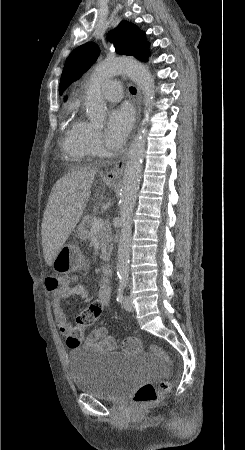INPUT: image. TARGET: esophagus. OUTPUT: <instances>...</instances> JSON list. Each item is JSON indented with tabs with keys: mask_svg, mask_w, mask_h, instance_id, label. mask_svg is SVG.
I'll return each mask as SVG.
<instances>
[{
	"mask_svg": "<svg viewBox=\"0 0 245 450\" xmlns=\"http://www.w3.org/2000/svg\"><path fill=\"white\" fill-rule=\"evenodd\" d=\"M140 111H141V92L138 89L137 90V118H136L135 128H136L139 118H140ZM126 157H127V150L124 152V154L122 155V157L118 161V163L110 171H108L104 174V178L107 180L119 179L121 177L124 167H125Z\"/></svg>",
	"mask_w": 245,
	"mask_h": 450,
	"instance_id": "esophagus-1",
	"label": "esophagus"
}]
</instances>
